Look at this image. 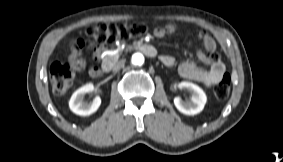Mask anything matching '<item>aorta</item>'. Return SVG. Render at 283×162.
<instances>
[{
	"mask_svg": "<svg viewBox=\"0 0 283 162\" xmlns=\"http://www.w3.org/2000/svg\"><path fill=\"white\" fill-rule=\"evenodd\" d=\"M131 62L135 66H141L144 63V56L141 53H134Z\"/></svg>",
	"mask_w": 283,
	"mask_h": 162,
	"instance_id": "obj_1",
	"label": "aorta"
}]
</instances>
